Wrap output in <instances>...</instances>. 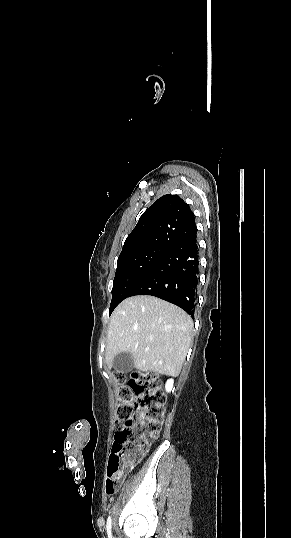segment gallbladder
Returning a JSON list of instances; mask_svg holds the SVG:
<instances>
[{"mask_svg":"<svg viewBox=\"0 0 291 538\" xmlns=\"http://www.w3.org/2000/svg\"><path fill=\"white\" fill-rule=\"evenodd\" d=\"M113 367L120 373H127L133 370L134 360L132 354L129 352H122L117 354L113 360Z\"/></svg>","mask_w":291,"mask_h":538,"instance_id":"gallbladder-1","label":"gallbladder"}]
</instances>
